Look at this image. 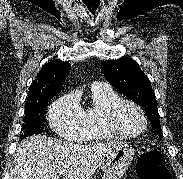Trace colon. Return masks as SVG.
Returning a JSON list of instances; mask_svg holds the SVG:
<instances>
[{
  "label": "colon",
  "mask_w": 183,
  "mask_h": 179,
  "mask_svg": "<svg viewBox=\"0 0 183 179\" xmlns=\"http://www.w3.org/2000/svg\"><path fill=\"white\" fill-rule=\"evenodd\" d=\"M139 179H170L163 155L155 149H141L136 162Z\"/></svg>",
  "instance_id": "colon-1"
}]
</instances>
